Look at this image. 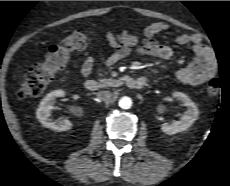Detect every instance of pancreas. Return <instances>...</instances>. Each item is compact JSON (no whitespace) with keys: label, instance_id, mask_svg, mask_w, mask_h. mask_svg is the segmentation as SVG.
Listing matches in <instances>:
<instances>
[{"label":"pancreas","instance_id":"pancreas-1","mask_svg":"<svg viewBox=\"0 0 230 186\" xmlns=\"http://www.w3.org/2000/svg\"><path fill=\"white\" fill-rule=\"evenodd\" d=\"M99 82L101 83L102 87H118L121 85V80L118 79H112V78H108V79H99Z\"/></svg>","mask_w":230,"mask_h":186}]
</instances>
